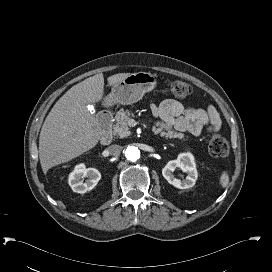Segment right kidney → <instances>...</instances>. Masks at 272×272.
<instances>
[{"mask_svg":"<svg viewBox=\"0 0 272 272\" xmlns=\"http://www.w3.org/2000/svg\"><path fill=\"white\" fill-rule=\"evenodd\" d=\"M84 178H87L84 181ZM101 179L100 172L95 168H86L84 163L75 166L69 174L68 184L76 193H86L92 190Z\"/></svg>","mask_w":272,"mask_h":272,"instance_id":"ca27d5eb","label":"right kidney"}]
</instances>
